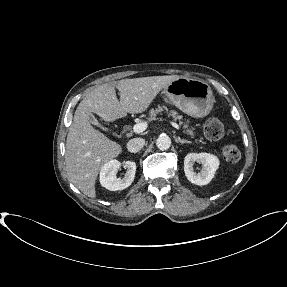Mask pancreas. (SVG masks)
<instances>
[{
  "label": "pancreas",
  "instance_id": "1",
  "mask_svg": "<svg viewBox=\"0 0 287 287\" xmlns=\"http://www.w3.org/2000/svg\"><path fill=\"white\" fill-rule=\"evenodd\" d=\"M166 111L167 114H169L174 120H178L179 124L183 126L184 132L190 136H194L193 128H189V125L187 122L182 121V116L178 115V113L174 110L168 111L166 107H161L159 106L156 109H151L149 114H150V119H156L157 114L161 113L162 111Z\"/></svg>",
  "mask_w": 287,
  "mask_h": 287
}]
</instances>
